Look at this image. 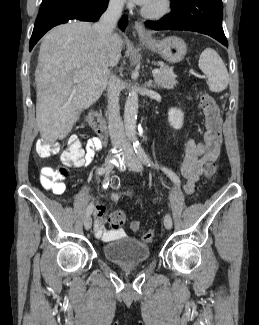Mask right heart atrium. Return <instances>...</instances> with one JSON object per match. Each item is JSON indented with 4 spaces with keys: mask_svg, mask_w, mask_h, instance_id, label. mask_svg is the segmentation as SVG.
Here are the masks:
<instances>
[{
    "mask_svg": "<svg viewBox=\"0 0 259 325\" xmlns=\"http://www.w3.org/2000/svg\"><path fill=\"white\" fill-rule=\"evenodd\" d=\"M109 3L112 8L118 9L123 6L124 0H110Z\"/></svg>",
    "mask_w": 259,
    "mask_h": 325,
    "instance_id": "d8ad5b80",
    "label": "right heart atrium"
}]
</instances>
